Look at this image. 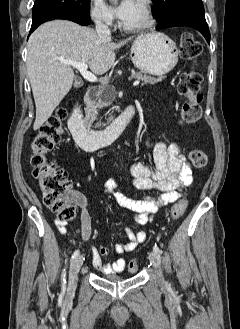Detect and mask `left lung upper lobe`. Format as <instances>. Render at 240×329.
I'll list each match as a JSON object with an SVG mask.
<instances>
[{
    "label": "left lung upper lobe",
    "instance_id": "left-lung-upper-lobe-1",
    "mask_svg": "<svg viewBox=\"0 0 240 329\" xmlns=\"http://www.w3.org/2000/svg\"><path fill=\"white\" fill-rule=\"evenodd\" d=\"M155 7L152 14L157 22H161L168 14L178 10L204 12L202 0H152Z\"/></svg>",
    "mask_w": 240,
    "mask_h": 329
}]
</instances>
